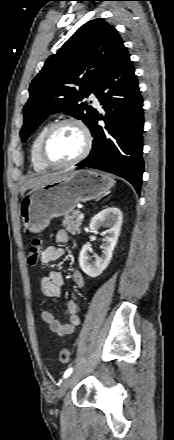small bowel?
I'll list each match as a JSON object with an SVG mask.
<instances>
[{
	"label": "small bowel",
	"mask_w": 174,
	"mask_h": 440,
	"mask_svg": "<svg viewBox=\"0 0 174 440\" xmlns=\"http://www.w3.org/2000/svg\"><path fill=\"white\" fill-rule=\"evenodd\" d=\"M57 242L64 244L69 241V234L65 230H60L56 234ZM65 254V250L59 246L46 247L40 256L42 263H51L61 259ZM72 280L76 287L82 288L84 285V277L78 270L72 273ZM64 286V277L60 271H50L43 275L40 280L41 291L44 296L49 298H60ZM67 310L69 313V320L62 321L57 319L51 312L44 310L41 313L42 321L49 327V329L58 336H65L71 334L76 326L81 321V308L79 303L71 299L67 303Z\"/></svg>",
	"instance_id": "small-bowel-1"
}]
</instances>
